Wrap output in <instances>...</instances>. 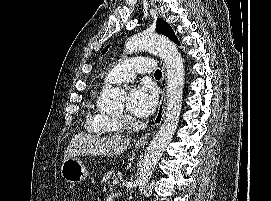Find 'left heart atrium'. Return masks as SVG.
<instances>
[{
    "label": "left heart atrium",
    "mask_w": 271,
    "mask_h": 201,
    "mask_svg": "<svg viewBox=\"0 0 271 201\" xmlns=\"http://www.w3.org/2000/svg\"><path fill=\"white\" fill-rule=\"evenodd\" d=\"M157 104V93L150 83H142L132 87L127 99V109L138 117L151 115Z\"/></svg>",
    "instance_id": "39dd6f15"
}]
</instances>
